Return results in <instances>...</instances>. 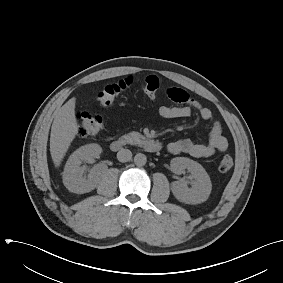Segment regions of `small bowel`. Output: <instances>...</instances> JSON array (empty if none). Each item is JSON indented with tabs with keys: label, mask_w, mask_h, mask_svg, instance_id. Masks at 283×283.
Masks as SVG:
<instances>
[{
	"label": "small bowel",
	"mask_w": 283,
	"mask_h": 283,
	"mask_svg": "<svg viewBox=\"0 0 283 283\" xmlns=\"http://www.w3.org/2000/svg\"><path fill=\"white\" fill-rule=\"evenodd\" d=\"M167 96L181 106H161L159 114L162 118L173 119L191 116L193 109L197 110L204 120H211L212 111L203 107L199 102L192 99L189 94L180 88L171 87L167 90ZM228 148V142L222 135L219 122L214 121L211 125L209 138L206 143L195 142L189 138H181L168 144L167 149L172 154L185 153L195 158H207L217 152H224Z\"/></svg>",
	"instance_id": "c3829d8e"
}]
</instances>
